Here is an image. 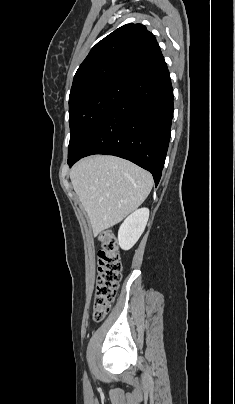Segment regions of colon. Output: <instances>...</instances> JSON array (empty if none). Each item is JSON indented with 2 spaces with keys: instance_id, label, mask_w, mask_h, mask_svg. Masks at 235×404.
<instances>
[{
  "instance_id": "5ec220e1",
  "label": "colon",
  "mask_w": 235,
  "mask_h": 404,
  "mask_svg": "<svg viewBox=\"0 0 235 404\" xmlns=\"http://www.w3.org/2000/svg\"><path fill=\"white\" fill-rule=\"evenodd\" d=\"M98 276L93 305V318L101 321L109 312L121 278V262L116 237L111 232L100 235Z\"/></svg>"
}]
</instances>
